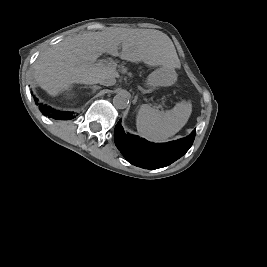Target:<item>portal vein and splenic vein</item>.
Masks as SVG:
<instances>
[{"label":"portal vein and splenic vein","instance_id":"1","mask_svg":"<svg viewBox=\"0 0 267 267\" xmlns=\"http://www.w3.org/2000/svg\"><path fill=\"white\" fill-rule=\"evenodd\" d=\"M111 66H113V67H115L116 65H115V63H109Z\"/></svg>","mask_w":267,"mask_h":267}]
</instances>
